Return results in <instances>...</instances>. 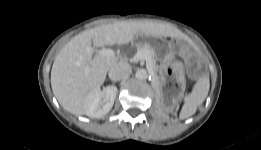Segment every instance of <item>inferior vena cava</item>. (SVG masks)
Segmentation results:
<instances>
[{
  "label": "inferior vena cava",
  "instance_id": "1",
  "mask_svg": "<svg viewBox=\"0 0 261 150\" xmlns=\"http://www.w3.org/2000/svg\"><path fill=\"white\" fill-rule=\"evenodd\" d=\"M132 68L127 62H118L110 68L109 78L112 81H119L131 74Z\"/></svg>",
  "mask_w": 261,
  "mask_h": 150
}]
</instances>
